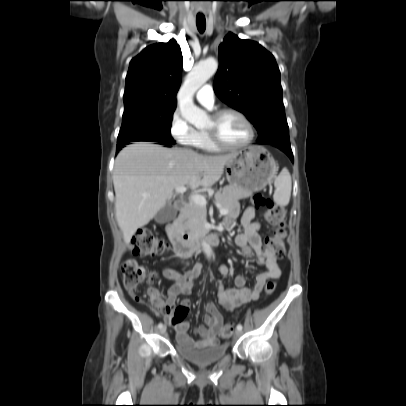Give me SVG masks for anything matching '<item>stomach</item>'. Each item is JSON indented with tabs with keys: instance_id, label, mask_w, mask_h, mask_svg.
<instances>
[{
	"instance_id": "0dacf381",
	"label": "stomach",
	"mask_w": 406,
	"mask_h": 406,
	"mask_svg": "<svg viewBox=\"0 0 406 406\" xmlns=\"http://www.w3.org/2000/svg\"><path fill=\"white\" fill-rule=\"evenodd\" d=\"M234 154V158L226 164V176L230 185L258 192L277 172L274 158L262 146H250Z\"/></svg>"
}]
</instances>
